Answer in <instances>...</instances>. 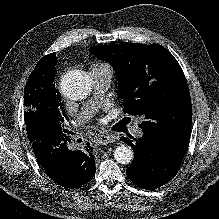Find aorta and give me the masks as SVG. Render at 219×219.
<instances>
[{
  "label": "aorta",
  "mask_w": 219,
  "mask_h": 219,
  "mask_svg": "<svg viewBox=\"0 0 219 219\" xmlns=\"http://www.w3.org/2000/svg\"><path fill=\"white\" fill-rule=\"evenodd\" d=\"M91 90V82L84 72L66 76L61 83L62 93L71 100L84 99ZM114 158L120 164H129L134 152L128 145H120L114 150Z\"/></svg>",
  "instance_id": "762f6f07"
}]
</instances>
